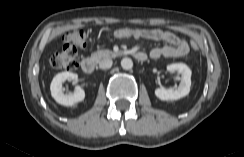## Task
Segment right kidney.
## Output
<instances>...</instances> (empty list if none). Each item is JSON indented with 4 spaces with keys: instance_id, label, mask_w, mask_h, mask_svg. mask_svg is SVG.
Listing matches in <instances>:
<instances>
[{
    "instance_id": "obj_1",
    "label": "right kidney",
    "mask_w": 244,
    "mask_h": 157,
    "mask_svg": "<svg viewBox=\"0 0 244 157\" xmlns=\"http://www.w3.org/2000/svg\"><path fill=\"white\" fill-rule=\"evenodd\" d=\"M78 76L72 72H62L57 74L50 85L51 95L54 100L63 106H74L85 99V92L82 88L76 87L74 93L66 94L62 88V84L66 80L77 82Z\"/></svg>"
}]
</instances>
